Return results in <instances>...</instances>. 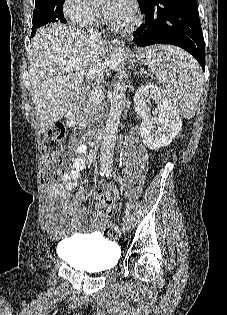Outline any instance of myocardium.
<instances>
[{
  "label": "myocardium",
  "instance_id": "1",
  "mask_svg": "<svg viewBox=\"0 0 227 315\" xmlns=\"http://www.w3.org/2000/svg\"><path fill=\"white\" fill-rule=\"evenodd\" d=\"M108 22H109L110 27L114 30H118L121 32H130L138 26L140 19H139L138 14L134 11L132 12L130 23H128L125 26H118L116 24L111 23L110 21Z\"/></svg>",
  "mask_w": 227,
  "mask_h": 315
}]
</instances>
